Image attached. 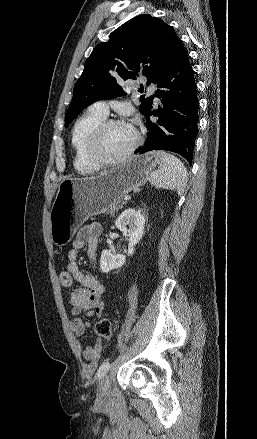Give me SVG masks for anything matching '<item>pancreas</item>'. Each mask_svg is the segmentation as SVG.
Returning a JSON list of instances; mask_svg holds the SVG:
<instances>
[{"label":"pancreas","mask_w":257,"mask_h":439,"mask_svg":"<svg viewBox=\"0 0 257 439\" xmlns=\"http://www.w3.org/2000/svg\"><path fill=\"white\" fill-rule=\"evenodd\" d=\"M123 204H124V202L116 201V202L112 203L107 209H105L104 212L110 214L111 216H114L115 213H117L118 210L120 208H122Z\"/></svg>","instance_id":"1"}]
</instances>
